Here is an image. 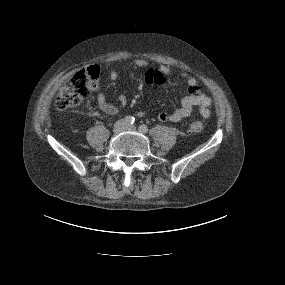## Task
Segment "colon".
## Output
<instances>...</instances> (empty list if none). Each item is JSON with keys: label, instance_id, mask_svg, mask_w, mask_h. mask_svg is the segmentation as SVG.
Listing matches in <instances>:
<instances>
[{"label": "colon", "instance_id": "obj_1", "mask_svg": "<svg viewBox=\"0 0 285 285\" xmlns=\"http://www.w3.org/2000/svg\"><path fill=\"white\" fill-rule=\"evenodd\" d=\"M100 77L101 69L97 65L82 68L61 88L55 98V107L66 110L78 106L97 89ZM202 129L200 122H192L187 126L188 133H199Z\"/></svg>", "mask_w": 285, "mask_h": 285}]
</instances>
